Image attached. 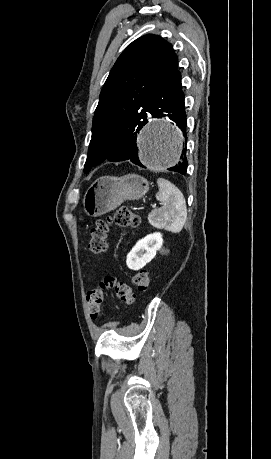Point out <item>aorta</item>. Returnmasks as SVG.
Segmentation results:
<instances>
[{
    "label": "aorta",
    "mask_w": 271,
    "mask_h": 459,
    "mask_svg": "<svg viewBox=\"0 0 271 459\" xmlns=\"http://www.w3.org/2000/svg\"><path fill=\"white\" fill-rule=\"evenodd\" d=\"M182 136L167 120L150 122L139 139V158L148 168L166 169L180 159Z\"/></svg>",
    "instance_id": "762f6f07"
}]
</instances>
